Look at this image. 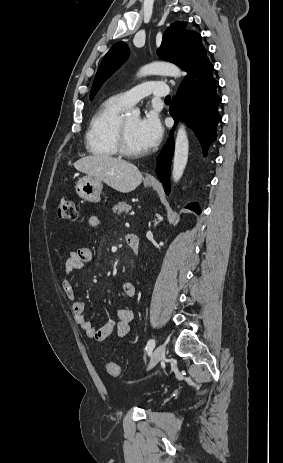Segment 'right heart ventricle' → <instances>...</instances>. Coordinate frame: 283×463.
Wrapping results in <instances>:
<instances>
[{
	"mask_svg": "<svg viewBox=\"0 0 283 463\" xmlns=\"http://www.w3.org/2000/svg\"><path fill=\"white\" fill-rule=\"evenodd\" d=\"M127 107L118 96H113L97 108L85 137L86 149L90 154L98 157H114L118 154L117 128Z\"/></svg>",
	"mask_w": 283,
	"mask_h": 463,
	"instance_id": "right-heart-ventricle-1",
	"label": "right heart ventricle"
}]
</instances>
